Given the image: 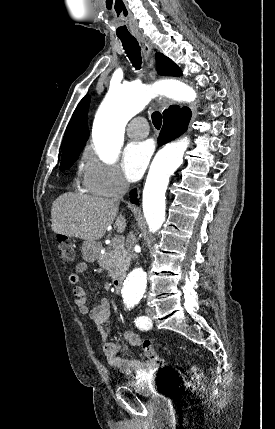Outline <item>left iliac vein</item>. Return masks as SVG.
Wrapping results in <instances>:
<instances>
[{
  "mask_svg": "<svg viewBox=\"0 0 275 429\" xmlns=\"http://www.w3.org/2000/svg\"><path fill=\"white\" fill-rule=\"evenodd\" d=\"M145 312H146L147 316L149 318H151L153 316V314H154V309L150 308V307H147L146 310H145Z\"/></svg>",
  "mask_w": 275,
  "mask_h": 429,
  "instance_id": "1",
  "label": "left iliac vein"
}]
</instances>
